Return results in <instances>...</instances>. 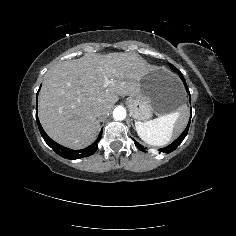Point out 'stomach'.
Listing matches in <instances>:
<instances>
[{"label": "stomach", "instance_id": "stomach-1", "mask_svg": "<svg viewBox=\"0 0 236 236\" xmlns=\"http://www.w3.org/2000/svg\"><path fill=\"white\" fill-rule=\"evenodd\" d=\"M182 83L169 72L150 69L139 82V92L127 101L131 117L137 121L150 120L153 114L168 116L185 103Z\"/></svg>", "mask_w": 236, "mask_h": 236}]
</instances>
